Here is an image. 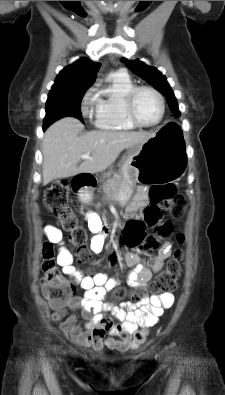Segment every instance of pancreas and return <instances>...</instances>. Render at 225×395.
Segmentation results:
<instances>
[{"label":"pancreas","instance_id":"obj_1","mask_svg":"<svg viewBox=\"0 0 225 395\" xmlns=\"http://www.w3.org/2000/svg\"><path fill=\"white\" fill-rule=\"evenodd\" d=\"M109 177V173L108 174H104L103 179ZM123 183V180L121 177L116 176L113 178L108 179L107 184H105L103 186L104 190L110 189V190H117L121 184Z\"/></svg>","mask_w":225,"mask_h":395}]
</instances>
